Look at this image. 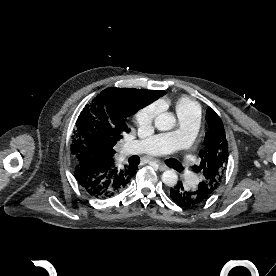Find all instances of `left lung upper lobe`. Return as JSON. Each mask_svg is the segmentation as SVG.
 Returning a JSON list of instances; mask_svg holds the SVG:
<instances>
[{"mask_svg":"<svg viewBox=\"0 0 276 276\" xmlns=\"http://www.w3.org/2000/svg\"><path fill=\"white\" fill-rule=\"evenodd\" d=\"M209 131L204 140L205 147L200 151V166L195 170L202 174V181L198 186H205L213 194L219 187L228 161V144L225 129L219 116L212 108L207 109Z\"/></svg>","mask_w":276,"mask_h":276,"instance_id":"left-lung-upper-lobe-1","label":"left lung upper lobe"}]
</instances>
